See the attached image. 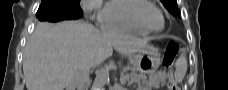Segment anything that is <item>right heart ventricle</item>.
Instances as JSON below:
<instances>
[{"label":"right heart ventricle","mask_w":228,"mask_h":90,"mask_svg":"<svg viewBox=\"0 0 228 90\" xmlns=\"http://www.w3.org/2000/svg\"><path fill=\"white\" fill-rule=\"evenodd\" d=\"M143 0H110L104 7L103 25L106 29L118 32L145 35L148 32L133 19V10Z\"/></svg>","instance_id":"obj_1"}]
</instances>
